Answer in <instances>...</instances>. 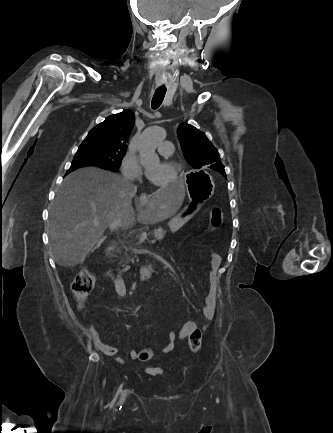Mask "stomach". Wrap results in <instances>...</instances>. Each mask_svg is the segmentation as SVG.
<instances>
[{
	"mask_svg": "<svg viewBox=\"0 0 333 433\" xmlns=\"http://www.w3.org/2000/svg\"><path fill=\"white\" fill-rule=\"evenodd\" d=\"M181 183H191L188 186V204L171 220V228H179L190 220L200 209L201 202L211 198L214 194L215 184L213 178L199 169H188L186 174L180 175ZM147 201L141 199V204Z\"/></svg>",
	"mask_w": 333,
	"mask_h": 433,
	"instance_id": "obj_1",
	"label": "stomach"
}]
</instances>
